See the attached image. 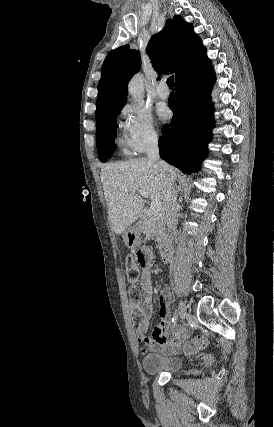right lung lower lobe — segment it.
<instances>
[{"instance_id":"obj_1","label":"right lung lower lobe","mask_w":274,"mask_h":427,"mask_svg":"<svg viewBox=\"0 0 274 427\" xmlns=\"http://www.w3.org/2000/svg\"><path fill=\"white\" fill-rule=\"evenodd\" d=\"M215 72L211 61L183 75L175 82L176 92L169 99L173 118L162 127L160 156L182 172L200 169L207 155V144L214 127L211 90Z\"/></svg>"}]
</instances>
